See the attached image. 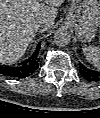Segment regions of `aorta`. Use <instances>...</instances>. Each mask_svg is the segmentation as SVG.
<instances>
[{"label": "aorta", "instance_id": "762f6f07", "mask_svg": "<svg viewBox=\"0 0 100 118\" xmlns=\"http://www.w3.org/2000/svg\"><path fill=\"white\" fill-rule=\"evenodd\" d=\"M71 41V35L66 29H59L55 32L54 42L58 46H66Z\"/></svg>", "mask_w": 100, "mask_h": 118}]
</instances>
